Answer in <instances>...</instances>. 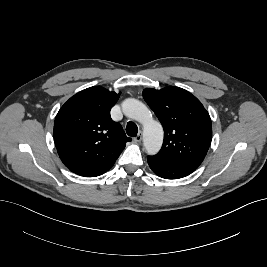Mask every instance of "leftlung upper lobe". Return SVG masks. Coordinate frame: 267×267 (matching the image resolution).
Wrapping results in <instances>:
<instances>
[{
	"label": "left lung upper lobe",
	"mask_w": 267,
	"mask_h": 267,
	"mask_svg": "<svg viewBox=\"0 0 267 267\" xmlns=\"http://www.w3.org/2000/svg\"><path fill=\"white\" fill-rule=\"evenodd\" d=\"M143 97L164 129L161 150L149 157L162 163L198 168L212 140L211 119L201 102L179 87L144 89Z\"/></svg>",
	"instance_id": "5c2ea615"
}]
</instances>
